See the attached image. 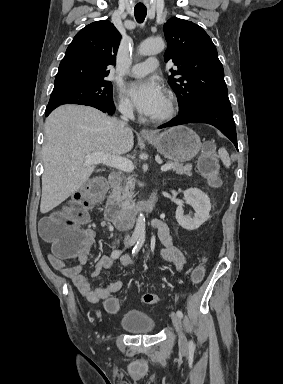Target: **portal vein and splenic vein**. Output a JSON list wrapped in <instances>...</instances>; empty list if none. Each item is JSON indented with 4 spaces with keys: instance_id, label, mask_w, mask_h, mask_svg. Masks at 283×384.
Returning a JSON list of instances; mask_svg holds the SVG:
<instances>
[{
    "instance_id": "obj_1",
    "label": "portal vein and splenic vein",
    "mask_w": 283,
    "mask_h": 384,
    "mask_svg": "<svg viewBox=\"0 0 283 384\" xmlns=\"http://www.w3.org/2000/svg\"><path fill=\"white\" fill-rule=\"evenodd\" d=\"M85 164H105V166H111V168H117L122 172H133L134 166L131 160L127 158H121V156H112V154H104V152H92L87 154L85 158ZM172 164H165L162 166V172L171 170Z\"/></svg>"
}]
</instances>
